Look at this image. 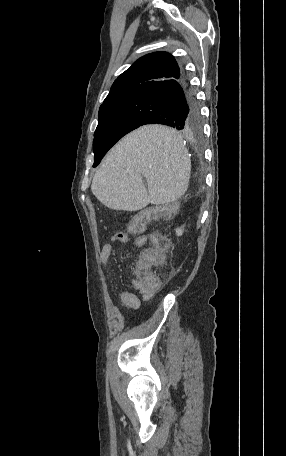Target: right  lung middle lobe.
Wrapping results in <instances>:
<instances>
[{
    "instance_id": "dd1d6c3e",
    "label": "right lung middle lobe",
    "mask_w": 286,
    "mask_h": 456,
    "mask_svg": "<svg viewBox=\"0 0 286 456\" xmlns=\"http://www.w3.org/2000/svg\"><path fill=\"white\" fill-rule=\"evenodd\" d=\"M134 111L127 97L113 100L100 107L99 122L93 141L95 156L93 167L100 163L106 152L120 138L137 127L133 116Z\"/></svg>"
}]
</instances>
